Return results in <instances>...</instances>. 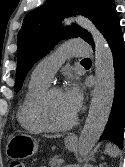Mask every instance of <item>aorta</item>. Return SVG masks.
<instances>
[{"mask_svg": "<svg viewBox=\"0 0 125 167\" xmlns=\"http://www.w3.org/2000/svg\"><path fill=\"white\" fill-rule=\"evenodd\" d=\"M75 20L91 33L95 43L96 82L88 117L79 138V155L86 157L107 124L114 98L115 72L112 52L103 35L88 19L77 17ZM70 21L68 19L65 23Z\"/></svg>", "mask_w": 125, "mask_h": 167, "instance_id": "1", "label": "aorta"}]
</instances>
